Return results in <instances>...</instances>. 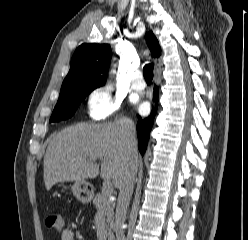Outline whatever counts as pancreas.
I'll use <instances>...</instances> for the list:
<instances>
[{"instance_id":"pancreas-1","label":"pancreas","mask_w":248,"mask_h":240,"mask_svg":"<svg viewBox=\"0 0 248 240\" xmlns=\"http://www.w3.org/2000/svg\"><path fill=\"white\" fill-rule=\"evenodd\" d=\"M109 196L105 195L103 192L98 193L93 199V204L95 205L98 212L102 213L106 217L107 227L106 235L108 240H113L114 229V205L109 201Z\"/></svg>"}]
</instances>
